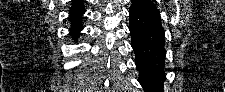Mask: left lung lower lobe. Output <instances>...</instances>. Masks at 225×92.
Returning a JSON list of instances; mask_svg holds the SVG:
<instances>
[{"label":"left lung lower lobe","instance_id":"obj_1","mask_svg":"<svg viewBox=\"0 0 225 92\" xmlns=\"http://www.w3.org/2000/svg\"><path fill=\"white\" fill-rule=\"evenodd\" d=\"M129 17L139 83L146 91H159L165 79L166 54L160 12L151 0H132Z\"/></svg>","mask_w":225,"mask_h":92}]
</instances>
